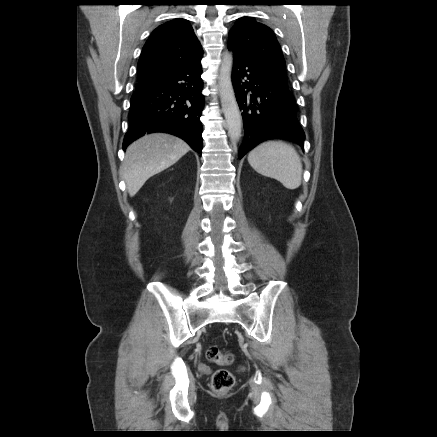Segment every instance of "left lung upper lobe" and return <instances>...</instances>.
I'll use <instances>...</instances> for the list:
<instances>
[{
  "instance_id": "obj_1",
  "label": "left lung upper lobe",
  "mask_w": 437,
  "mask_h": 437,
  "mask_svg": "<svg viewBox=\"0 0 437 437\" xmlns=\"http://www.w3.org/2000/svg\"><path fill=\"white\" fill-rule=\"evenodd\" d=\"M228 47L274 80L288 86L280 45L266 25L251 17L238 19L229 32Z\"/></svg>"
}]
</instances>
